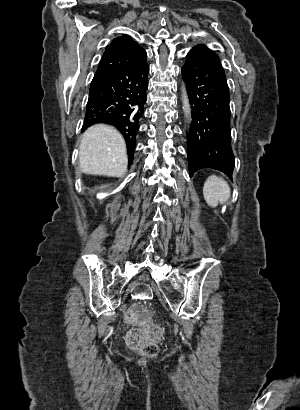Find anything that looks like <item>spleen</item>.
<instances>
[{
	"mask_svg": "<svg viewBox=\"0 0 300 410\" xmlns=\"http://www.w3.org/2000/svg\"><path fill=\"white\" fill-rule=\"evenodd\" d=\"M204 198L209 206L215 207L230 198V188L221 177L212 175L208 177L203 187Z\"/></svg>",
	"mask_w": 300,
	"mask_h": 410,
	"instance_id": "1",
	"label": "spleen"
}]
</instances>
